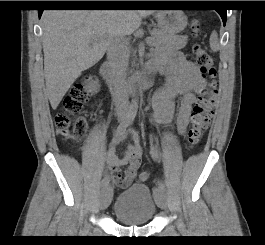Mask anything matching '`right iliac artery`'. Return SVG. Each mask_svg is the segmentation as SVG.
I'll use <instances>...</instances> for the list:
<instances>
[{"mask_svg": "<svg viewBox=\"0 0 265 245\" xmlns=\"http://www.w3.org/2000/svg\"><path fill=\"white\" fill-rule=\"evenodd\" d=\"M136 114H137V105L131 104L125 118L115 129L114 132L115 136L121 135L126 131V128L134 121ZM108 184H109V179L105 176L101 181V186L102 188H105L106 186H108Z\"/></svg>", "mask_w": 265, "mask_h": 245, "instance_id": "1", "label": "right iliac artery"}]
</instances>
